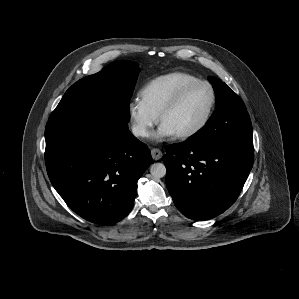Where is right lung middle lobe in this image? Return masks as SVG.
Listing matches in <instances>:
<instances>
[{"instance_id": "right-lung-middle-lobe-1", "label": "right lung middle lobe", "mask_w": 299, "mask_h": 299, "mask_svg": "<svg viewBox=\"0 0 299 299\" xmlns=\"http://www.w3.org/2000/svg\"><path fill=\"white\" fill-rule=\"evenodd\" d=\"M139 71L136 63L120 60L80 79L66 91L48 121L112 113L129 122V104Z\"/></svg>"}]
</instances>
